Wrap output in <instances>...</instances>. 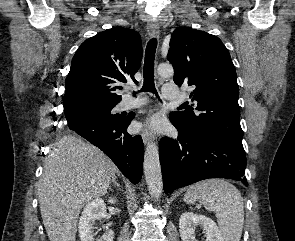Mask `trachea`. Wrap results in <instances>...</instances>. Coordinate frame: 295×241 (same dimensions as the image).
Returning <instances> with one entry per match:
<instances>
[{"label": "trachea", "instance_id": "1", "mask_svg": "<svg viewBox=\"0 0 295 241\" xmlns=\"http://www.w3.org/2000/svg\"><path fill=\"white\" fill-rule=\"evenodd\" d=\"M156 47L157 40L153 38L148 42L145 51V61L143 70L144 84L141 91L151 92L157 95L154 83V60Z\"/></svg>", "mask_w": 295, "mask_h": 241}]
</instances>
